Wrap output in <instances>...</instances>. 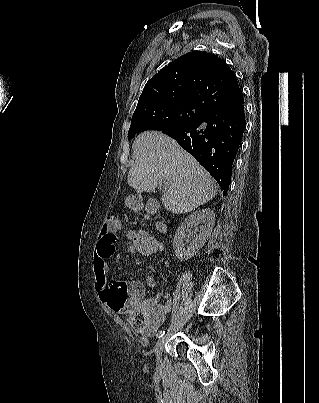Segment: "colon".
Here are the masks:
<instances>
[{"label":"colon","instance_id":"colon-1","mask_svg":"<svg viewBox=\"0 0 319 403\" xmlns=\"http://www.w3.org/2000/svg\"><path fill=\"white\" fill-rule=\"evenodd\" d=\"M144 196L131 192L126 204L131 210H144ZM148 210H159V201H148ZM130 254H139V258H162L163 241L158 240V234H152L151 229L145 226H132L126 237Z\"/></svg>","mask_w":319,"mask_h":403}]
</instances>
